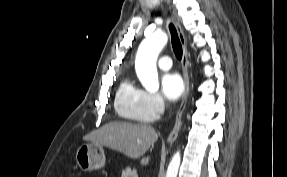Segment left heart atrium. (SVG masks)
<instances>
[{
  "label": "left heart atrium",
  "mask_w": 287,
  "mask_h": 177,
  "mask_svg": "<svg viewBox=\"0 0 287 177\" xmlns=\"http://www.w3.org/2000/svg\"><path fill=\"white\" fill-rule=\"evenodd\" d=\"M185 84L178 73H166L161 80L163 96L168 101L177 100L184 92Z\"/></svg>",
  "instance_id": "obj_1"
}]
</instances>
